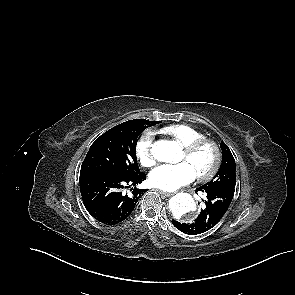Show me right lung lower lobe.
<instances>
[{
  "label": "right lung lower lobe",
  "instance_id": "98d812e1",
  "mask_svg": "<svg viewBox=\"0 0 295 295\" xmlns=\"http://www.w3.org/2000/svg\"><path fill=\"white\" fill-rule=\"evenodd\" d=\"M146 179L142 172L135 174L93 173L80 175V191L88 212L99 222L114 225L125 220L133 211L144 189L125 188Z\"/></svg>",
  "mask_w": 295,
  "mask_h": 295
}]
</instances>
